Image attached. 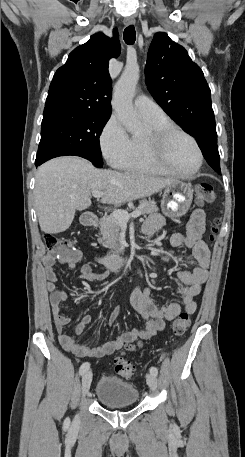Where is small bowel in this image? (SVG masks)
Listing matches in <instances>:
<instances>
[{
    "mask_svg": "<svg viewBox=\"0 0 245 457\" xmlns=\"http://www.w3.org/2000/svg\"><path fill=\"white\" fill-rule=\"evenodd\" d=\"M206 214L203 209H195L186 223L185 232H178L172 235L171 245L173 247L186 246L192 249L190 260L196 263L192 270H181L177 273L180 285L176 287V292L181 296V302H172L167 305H158L151 296L150 288L136 286L131 294L130 301L135 311L145 321L144 329H131L116 339L109 341L99 347H90L87 343H78L76 336L82 334L91 317L83 315L75 326V334L66 333V327L70 324V318L63 315L61 305L67 298L65 290L58 288V277L54 270L56 262L64 264L69 268L76 265V257H55L45 255L42 258L43 269L46 276V289L50 294V304L53 313L55 328L58 339L64 349L79 357L100 358L120 350L124 345L136 340H149L158 332L165 329L166 323L173 321L181 312L182 308L187 314L195 313L197 309L196 296L201 291L202 284L209 275L210 252L207 244L202 240L205 231ZM165 224L162 215L154 213L150 215L143 226L146 236H153ZM109 272H95L89 265L84 264L80 268V278L89 282H99L105 280ZM120 313L119 307H114L109 318L112 325L117 320Z\"/></svg>",
    "mask_w": 245,
    "mask_h": 457,
    "instance_id": "c3829d8e",
    "label": "small bowel"
}]
</instances>
